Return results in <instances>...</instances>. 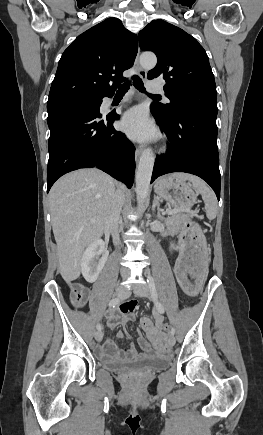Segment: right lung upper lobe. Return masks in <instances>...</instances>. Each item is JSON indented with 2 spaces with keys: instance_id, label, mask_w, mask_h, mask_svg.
<instances>
[{
  "instance_id": "1",
  "label": "right lung upper lobe",
  "mask_w": 263,
  "mask_h": 435,
  "mask_svg": "<svg viewBox=\"0 0 263 435\" xmlns=\"http://www.w3.org/2000/svg\"><path fill=\"white\" fill-rule=\"evenodd\" d=\"M137 51V36L117 18L85 31L62 54L47 106L113 95Z\"/></svg>"
}]
</instances>
